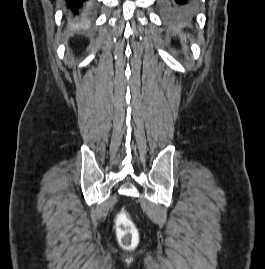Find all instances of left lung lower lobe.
<instances>
[{
  "mask_svg": "<svg viewBox=\"0 0 265 269\" xmlns=\"http://www.w3.org/2000/svg\"><path fill=\"white\" fill-rule=\"evenodd\" d=\"M162 14L167 20L186 19L196 12L197 0H159Z\"/></svg>",
  "mask_w": 265,
  "mask_h": 269,
  "instance_id": "1",
  "label": "left lung lower lobe"
}]
</instances>
